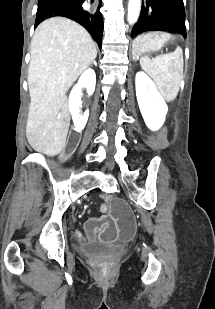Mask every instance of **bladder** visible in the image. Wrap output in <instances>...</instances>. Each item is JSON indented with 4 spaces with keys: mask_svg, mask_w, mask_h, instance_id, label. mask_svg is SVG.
<instances>
[{
    "mask_svg": "<svg viewBox=\"0 0 215 309\" xmlns=\"http://www.w3.org/2000/svg\"><path fill=\"white\" fill-rule=\"evenodd\" d=\"M75 251L85 258H103L115 255V250L104 245H77Z\"/></svg>",
    "mask_w": 215,
    "mask_h": 309,
    "instance_id": "bladder-1",
    "label": "bladder"
}]
</instances>
